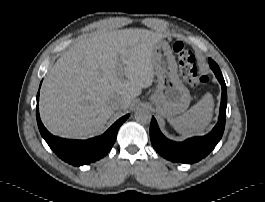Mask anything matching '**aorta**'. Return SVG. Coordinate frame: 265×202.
Masks as SVG:
<instances>
[{"label": "aorta", "mask_w": 265, "mask_h": 202, "mask_svg": "<svg viewBox=\"0 0 265 202\" xmlns=\"http://www.w3.org/2000/svg\"><path fill=\"white\" fill-rule=\"evenodd\" d=\"M135 120L142 124H148L151 121V113L148 108L141 106L137 108L134 114Z\"/></svg>", "instance_id": "1"}]
</instances>
